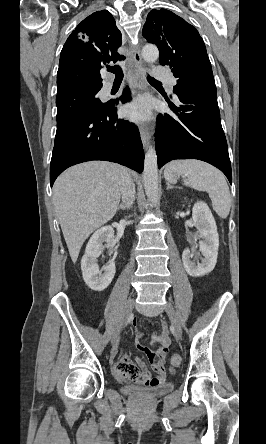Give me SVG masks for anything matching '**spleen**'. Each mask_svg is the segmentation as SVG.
Here are the masks:
<instances>
[{
    "label": "spleen",
    "mask_w": 266,
    "mask_h": 444,
    "mask_svg": "<svg viewBox=\"0 0 266 444\" xmlns=\"http://www.w3.org/2000/svg\"><path fill=\"white\" fill-rule=\"evenodd\" d=\"M182 175L186 186L198 191H206L212 201L213 210L221 218H226L231 208V196L222 172L200 160H173L164 170L165 178L172 183Z\"/></svg>",
    "instance_id": "obj_1"
}]
</instances>
